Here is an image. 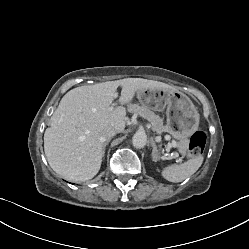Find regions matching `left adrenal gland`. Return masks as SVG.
<instances>
[{
    "label": "left adrenal gland",
    "instance_id": "1",
    "mask_svg": "<svg viewBox=\"0 0 249 249\" xmlns=\"http://www.w3.org/2000/svg\"><path fill=\"white\" fill-rule=\"evenodd\" d=\"M151 146H152V160L153 161H157V153H158V150H157V147L155 145V142L153 140V138H151Z\"/></svg>",
    "mask_w": 249,
    "mask_h": 249
}]
</instances>
